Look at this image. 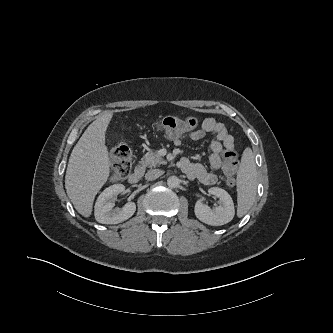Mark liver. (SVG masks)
Here are the masks:
<instances>
[{
    "label": "liver",
    "mask_w": 333,
    "mask_h": 333,
    "mask_svg": "<svg viewBox=\"0 0 333 333\" xmlns=\"http://www.w3.org/2000/svg\"><path fill=\"white\" fill-rule=\"evenodd\" d=\"M109 111L85 130L73 148L67 165L65 188L75 209L90 217L96 194L110 175V159L105 133L112 119Z\"/></svg>",
    "instance_id": "1"
}]
</instances>
